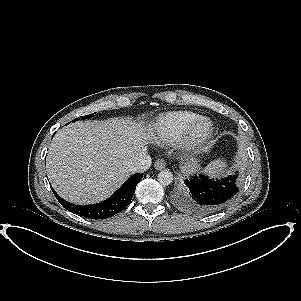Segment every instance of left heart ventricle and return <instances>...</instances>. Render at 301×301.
<instances>
[{"label":"left heart ventricle","mask_w":301,"mask_h":301,"mask_svg":"<svg viewBox=\"0 0 301 301\" xmlns=\"http://www.w3.org/2000/svg\"><path fill=\"white\" fill-rule=\"evenodd\" d=\"M205 129H206V127H205V126H201V128H200V132H203V131H205Z\"/></svg>","instance_id":"1"}]
</instances>
